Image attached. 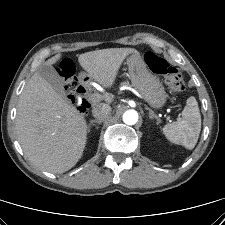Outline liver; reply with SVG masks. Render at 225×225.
<instances>
[{
    "mask_svg": "<svg viewBox=\"0 0 225 225\" xmlns=\"http://www.w3.org/2000/svg\"><path fill=\"white\" fill-rule=\"evenodd\" d=\"M138 53L134 48H109L79 55L78 61L89 77L111 88L125 58ZM56 55L45 64L53 65ZM103 99L110 103L112 97ZM16 131L25 156L36 167L51 173H64L81 158L87 140L84 115L73 107L35 72L19 99Z\"/></svg>",
    "mask_w": 225,
    "mask_h": 225,
    "instance_id": "1",
    "label": "liver"
}]
</instances>
